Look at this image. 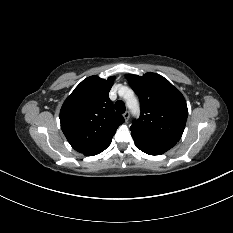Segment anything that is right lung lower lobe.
<instances>
[{"label": "right lung lower lobe", "instance_id": "98d812e1", "mask_svg": "<svg viewBox=\"0 0 233 233\" xmlns=\"http://www.w3.org/2000/svg\"><path fill=\"white\" fill-rule=\"evenodd\" d=\"M110 143H111V141L108 142L107 144H105V145L102 146V147H99V148H97V149H95V150H91V151L85 152V153H83V154L86 155V156H93V155L99 154V153H101L102 151H104V150L108 147V145H109Z\"/></svg>", "mask_w": 233, "mask_h": 233}]
</instances>
